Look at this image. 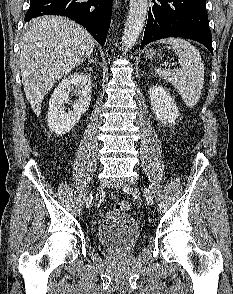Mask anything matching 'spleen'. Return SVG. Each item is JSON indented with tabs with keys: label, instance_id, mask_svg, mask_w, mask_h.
Masks as SVG:
<instances>
[{
	"label": "spleen",
	"instance_id": "3e777b00",
	"mask_svg": "<svg viewBox=\"0 0 233 294\" xmlns=\"http://www.w3.org/2000/svg\"><path fill=\"white\" fill-rule=\"evenodd\" d=\"M160 44L170 45L178 57L180 71L155 68V72L170 82L185 105L193 108L197 105L204 83V64L200 52L188 41L181 38H165Z\"/></svg>",
	"mask_w": 233,
	"mask_h": 294
}]
</instances>
